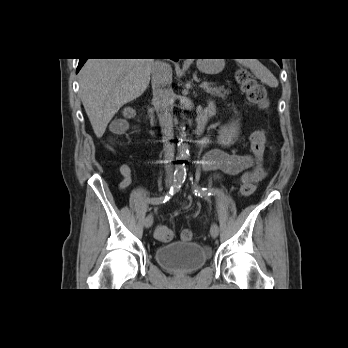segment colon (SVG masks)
Wrapping results in <instances>:
<instances>
[{
    "instance_id": "5ec220e1",
    "label": "colon",
    "mask_w": 348,
    "mask_h": 348,
    "mask_svg": "<svg viewBox=\"0 0 348 348\" xmlns=\"http://www.w3.org/2000/svg\"><path fill=\"white\" fill-rule=\"evenodd\" d=\"M237 81L240 83L243 92L245 93L249 102L256 104L260 107H266L268 104L267 91L265 87L253 78L251 73L246 69H240L236 74ZM132 111H128L129 117L133 116ZM127 126L125 121H119L115 124L114 129L117 132L123 131ZM266 131L258 129L254 131L250 136V145L252 153L256 160V165L253 169V176H259L262 172L263 156L266 148ZM254 182L243 184L240 188L242 196H249L254 192ZM154 236L158 241L168 242L172 239L173 234L166 225H158L155 228ZM193 234L190 230H183L181 237L183 240H191Z\"/></svg>"
}]
</instances>
